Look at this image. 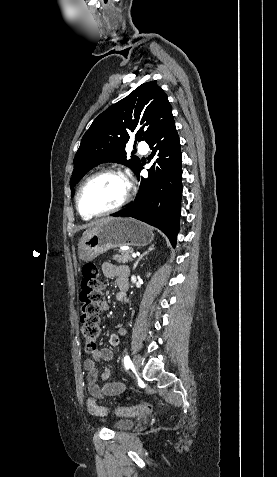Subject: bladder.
<instances>
[{
	"label": "bladder",
	"instance_id": "1",
	"mask_svg": "<svg viewBox=\"0 0 277 477\" xmlns=\"http://www.w3.org/2000/svg\"><path fill=\"white\" fill-rule=\"evenodd\" d=\"M135 422L131 419H119L115 421L114 428L118 431H127L134 427Z\"/></svg>",
	"mask_w": 277,
	"mask_h": 477
}]
</instances>
